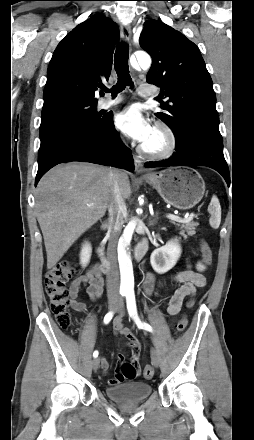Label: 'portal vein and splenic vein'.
Returning <instances> with one entry per match:
<instances>
[{
	"label": "portal vein and splenic vein",
	"instance_id": "obj_1",
	"mask_svg": "<svg viewBox=\"0 0 254 440\" xmlns=\"http://www.w3.org/2000/svg\"><path fill=\"white\" fill-rule=\"evenodd\" d=\"M88 206L92 207L93 204H89ZM193 217H194V214H191L189 217H186V218H182V217H179L174 214H167L166 215L167 219H169L171 221H176V222H188V221H191L193 219Z\"/></svg>",
	"mask_w": 254,
	"mask_h": 440
}]
</instances>
